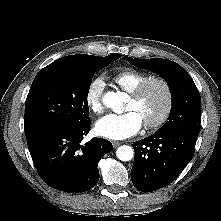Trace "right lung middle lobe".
Wrapping results in <instances>:
<instances>
[{
  "mask_svg": "<svg viewBox=\"0 0 221 221\" xmlns=\"http://www.w3.org/2000/svg\"><path fill=\"white\" fill-rule=\"evenodd\" d=\"M120 55L91 56L81 61L58 59L35 77L25 102V135L55 125L90 122L87 96L95 72Z\"/></svg>",
  "mask_w": 221,
  "mask_h": 221,
  "instance_id": "obj_1",
  "label": "right lung middle lobe"
}]
</instances>
